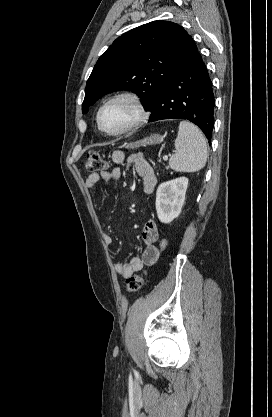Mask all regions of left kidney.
Instances as JSON below:
<instances>
[{
	"mask_svg": "<svg viewBox=\"0 0 272 417\" xmlns=\"http://www.w3.org/2000/svg\"><path fill=\"white\" fill-rule=\"evenodd\" d=\"M188 178L179 177L161 183L156 192V211L162 223H170L181 213L185 202Z\"/></svg>",
	"mask_w": 272,
	"mask_h": 417,
	"instance_id": "5707ae66",
	"label": "left kidney"
}]
</instances>
